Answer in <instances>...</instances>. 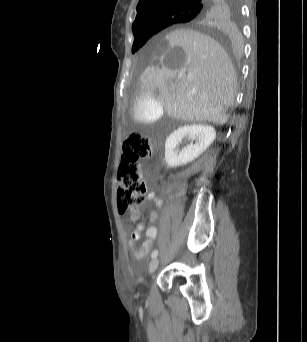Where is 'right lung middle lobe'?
Masks as SVG:
<instances>
[{
    "instance_id": "right-lung-middle-lobe-1",
    "label": "right lung middle lobe",
    "mask_w": 307,
    "mask_h": 342,
    "mask_svg": "<svg viewBox=\"0 0 307 342\" xmlns=\"http://www.w3.org/2000/svg\"><path fill=\"white\" fill-rule=\"evenodd\" d=\"M196 14H197V11L194 9L180 10V11L169 14L166 17L165 22L162 27L134 34V43L132 47V53H135L137 50H139L152 35L162 30L164 27L172 25V24H176V23L187 22L191 20L192 18H194Z\"/></svg>"
}]
</instances>
